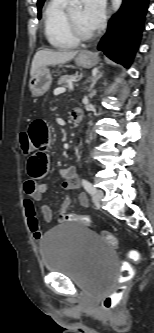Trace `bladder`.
<instances>
[{"mask_svg":"<svg viewBox=\"0 0 154 333\" xmlns=\"http://www.w3.org/2000/svg\"><path fill=\"white\" fill-rule=\"evenodd\" d=\"M44 269L68 276L83 287L113 283L116 254L99 234L80 222L51 228L39 242Z\"/></svg>","mask_w":154,"mask_h":333,"instance_id":"obj_1","label":"bladder"}]
</instances>
